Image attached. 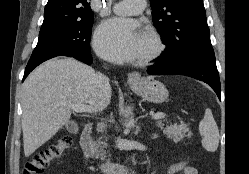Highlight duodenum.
I'll use <instances>...</instances> for the list:
<instances>
[{
	"instance_id": "obj_1",
	"label": "duodenum",
	"mask_w": 249,
	"mask_h": 174,
	"mask_svg": "<svg viewBox=\"0 0 249 174\" xmlns=\"http://www.w3.org/2000/svg\"><path fill=\"white\" fill-rule=\"evenodd\" d=\"M92 123H86L80 138V146L84 161H89L92 157ZM96 170L100 174H128L129 167L127 165L117 163H104L96 166Z\"/></svg>"
}]
</instances>
